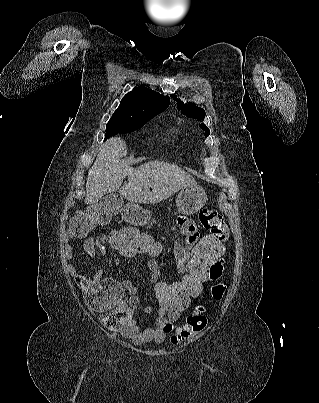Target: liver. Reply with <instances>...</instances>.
Instances as JSON below:
<instances>
[{
	"label": "liver",
	"mask_w": 319,
	"mask_h": 403,
	"mask_svg": "<svg viewBox=\"0 0 319 403\" xmlns=\"http://www.w3.org/2000/svg\"><path fill=\"white\" fill-rule=\"evenodd\" d=\"M126 143L118 137L108 139L88 172L85 204L98 202L104 194L119 192L126 200L144 204L161 202L195 179L180 167L163 161L147 162L132 168L122 157ZM128 184L121 187L123 179Z\"/></svg>",
	"instance_id": "liver-1"
}]
</instances>
